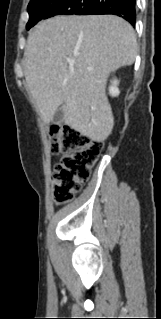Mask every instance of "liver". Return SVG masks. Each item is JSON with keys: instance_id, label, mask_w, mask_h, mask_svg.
Here are the masks:
<instances>
[{"instance_id": "obj_1", "label": "liver", "mask_w": 161, "mask_h": 319, "mask_svg": "<svg viewBox=\"0 0 161 319\" xmlns=\"http://www.w3.org/2000/svg\"><path fill=\"white\" fill-rule=\"evenodd\" d=\"M137 51L132 26L115 15L56 16L39 22L27 39L24 74L44 123L61 107L70 128L91 140H106L114 125L107 78L133 64Z\"/></svg>"}]
</instances>
